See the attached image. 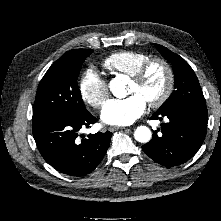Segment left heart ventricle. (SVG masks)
I'll use <instances>...</instances> for the list:
<instances>
[{
    "label": "left heart ventricle",
    "instance_id": "left-heart-ventricle-1",
    "mask_svg": "<svg viewBox=\"0 0 221 221\" xmlns=\"http://www.w3.org/2000/svg\"><path fill=\"white\" fill-rule=\"evenodd\" d=\"M166 85V74L164 69L158 65H153L142 83L136 84L131 81L129 94L137 93L146 102L158 98Z\"/></svg>",
    "mask_w": 221,
    "mask_h": 221
}]
</instances>
